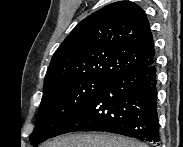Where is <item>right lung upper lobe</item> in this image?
<instances>
[{"mask_svg": "<svg viewBox=\"0 0 183 147\" xmlns=\"http://www.w3.org/2000/svg\"><path fill=\"white\" fill-rule=\"evenodd\" d=\"M143 9L130 1L109 4L82 20L61 43L44 88L84 78L111 79L155 62Z\"/></svg>", "mask_w": 183, "mask_h": 147, "instance_id": "obj_1", "label": "right lung upper lobe"}]
</instances>
